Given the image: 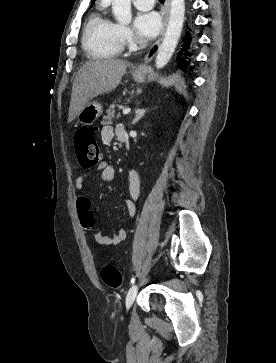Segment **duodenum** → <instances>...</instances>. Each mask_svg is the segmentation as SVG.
<instances>
[{
  "mask_svg": "<svg viewBox=\"0 0 276 363\" xmlns=\"http://www.w3.org/2000/svg\"><path fill=\"white\" fill-rule=\"evenodd\" d=\"M126 139H127V135H126V133H121V134L119 135V140H120L121 142H125V141H126Z\"/></svg>",
  "mask_w": 276,
  "mask_h": 363,
  "instance_id": "obj_1",
  "label": "duodenum"
}]
</instances>
